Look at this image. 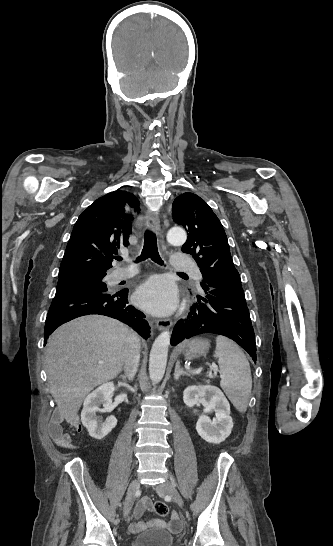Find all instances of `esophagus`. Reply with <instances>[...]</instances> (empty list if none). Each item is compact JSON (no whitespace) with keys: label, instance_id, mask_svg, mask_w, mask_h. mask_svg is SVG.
I'll list each match as a JSON object with an SVG mask.
<instances>
[{"label":"esophagus","instance_id":"1","mask_svg":"<svg viewBox=\"0 0 333 546\" xmlns=\"http://www.w3.org/2000/svg\"><path fill=\"white\" fill-rule=\"evenodd\" d=\"M146 227L149 230H154L158 236L160 244L164 243V234L160 226V220L156 213L148 210L146 214ZM172 326V321L168 318L158 319L156 321V327L158 330H166Z\"/></svg>","mask_w":333,"mask_h":546}]
</instances>
